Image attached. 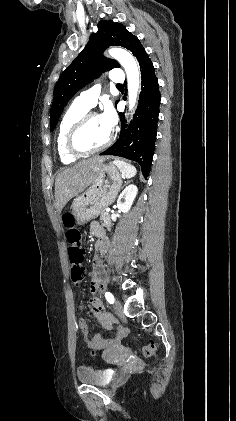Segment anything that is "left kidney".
I'll return each mask as SVG.
<instances>
[{"instance_id":"obj_1","label":"left kidney","mask_w":236,"mask_h":421,"mask_svg":"<svg viewBox=\"0 0 236 421\" xmlns=\"http://www.w3.org/2000/svg\"><path fill=\"white\" fill-rule=\"evenodd\" d=\"M137 190L138 188L135 184H129V186H126V188L122 190L117 200V208H119V211H122V213H128V211H130L131 204H133Z\"/></svg>"}]
</instances>
